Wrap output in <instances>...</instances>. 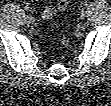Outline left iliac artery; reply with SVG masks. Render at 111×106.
Listing matches in <instances>:
<instances>
[{
    "instance_id": "obj_1",
    "label": "left iliac artery",
    "mask_w": 111,
    "mask_h": 106,
    "mask_svg": "<svg viewBox=\"0 0 111 106\" xmlns=\"http://www.w3.org/2000/svg\"><path fill=\"white\" fill-rule=\"evenodd\" d=\"M84 6H86V7H87V6H88V2H85V3H84Z\"/></svg>"
}]
</instances>
